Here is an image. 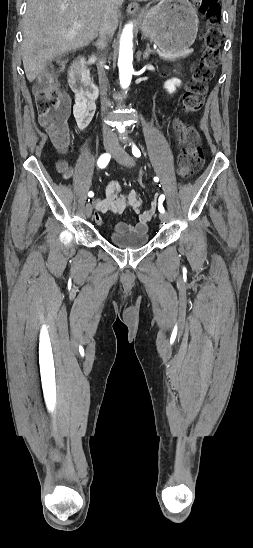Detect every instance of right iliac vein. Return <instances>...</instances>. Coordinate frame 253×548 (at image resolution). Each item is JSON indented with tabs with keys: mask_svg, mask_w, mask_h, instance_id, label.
I'll return each mask as SVG.
<instances>
[{
	"mask_svg": "<svg viewBox=\"0 0 253 548\" xmlns=\"http://www.w3.org/2000/svg\"><path fill=\"white\" fill-rule=\"evenodd\" d=\"M115 148H116V145L114 143L108 142V143L105 144V150L108 153L113 152L115 150ZM85 213L88 217L91 216V214H92V205L90 203L86 204Z\"/></svg>",
	"mask_w": 253,
	"mask_h": 548,
	"instance_id": "1",
	"label": "right iliac vein"
}]
</instances>
